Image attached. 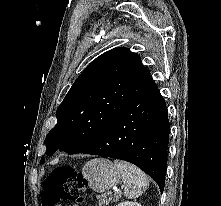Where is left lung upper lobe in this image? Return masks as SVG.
Listing matches in <instances>:
<instances>
[{"instance_id": "1", "label": "left lung upper lobe", "mask_w": 221, "mask_h": 206, "mask_svg": "<svg viewBox=\"0 0 221 206\" xmlns=\"http://www.w3.org/2000/svg\"><path fill=\"white\" fill-rule=\"evenodd\" d=\"M152 84L138 54L124 47L103 53L80 74L60 104L57 124L45 139L46 154L58 149L80 152Z\"/></svg>"}]
</instances>
